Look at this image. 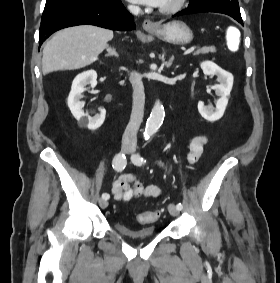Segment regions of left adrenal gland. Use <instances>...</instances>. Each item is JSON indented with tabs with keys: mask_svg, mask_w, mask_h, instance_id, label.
<instances>
[{
	"mask_svg": "<svg viewBox=\"0 0 280 283\" xmlns=\"http://www.w3.org/2000/svg\"><path fill=\"white\" fill-rule=\"evenodd\" d=\"M173 60H174V56H172L168 62L165 61V58H164V54L162 55V61H163V64L169 68L171 67L172 63H173Z\"/></svg>",
	"mask_w": 280,
	"mask_h": 283,
	"instance_id": "obj_1",
	"label": "left adrenal gland"
}]
</instances>
